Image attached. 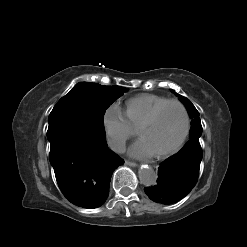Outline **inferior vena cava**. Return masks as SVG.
<instances>
[{
    "label": "inferior vena cava",
    "instance_id": "inferior-vena-cava-1",
    "mask_svg": "<svg viewBox=\"0 0 247 247\" xmlns=\"http://www.w3.org/2000/svg\"><path fill=\"white\" fill-rule=\"evenodd\" d=\"M108 145L113 151L118 153H124L126 150L125 142L122 140L110 139Z\"/></svg>",
    "mask_w": 247,
    "mask_h": 247
}]
</instances>
